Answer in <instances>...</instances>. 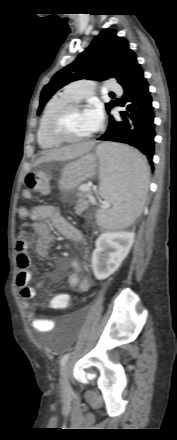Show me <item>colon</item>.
<instances>
[{
    "instance_id": "5ec220e1",
    "label": "colon",
    "mask_w": 177,
    "mask_h": 440,
    "mask_svg": "<svg viewBox=\"0 0 177 440\" xmlns=\"http://www.w3.org/2000/svg\"><path fill=\"white\" fill-rule=\"evenodd\" d=\"M50 183V176L45 171L30 173L25 178L26 192H47ZM74 301L69 298H47L49 311H69L70 304Z\"/></svg>"
}]
</instances>
